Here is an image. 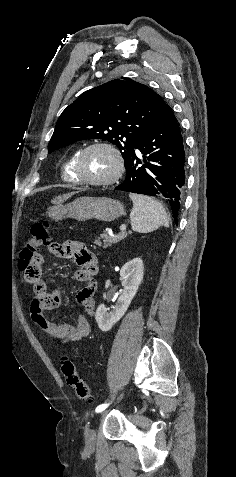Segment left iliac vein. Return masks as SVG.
Instances as JSON below:
<instances>
[{
    "mask_svg": "<svg viewBox=\"0 0 236 477\" xmlns=\"http://www.w3.org/2000/svg\"><path fill=\"white\" fill-rule=\"evenodd\" d=\"M123 397V394L121 395L120 399ZM115 406L117 405L116 403L114 404ZM114 407L111 406L110 408L108 409H102L100 410V412L97 413V418L98 417H106L107 413H111L112 412V409ZM85 443H86V447L89 448V449H92L94 448L95 446V443H96V432L95 430L93 429H90V428H86L85 430Z\"/></svg>",
    "mask_w": 236,
    "mask_h": 477,
    "instance_id": "1",
    "label": "left iliac vein"
}]
</instances>
